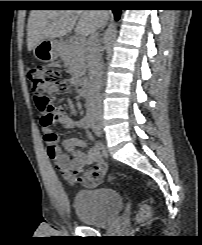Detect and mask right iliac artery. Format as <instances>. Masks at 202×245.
<instances>
[{"mask_svg": "<svg viewBox=\"0 0 202 245\" xmlns=\"http://www.w3.org/2000/svg\"><path fill=\"white\" fill-rule=\"evenodd\" d=\"M91 121H92V118L90 116V114H86L82 119H81V122H82V126L86 129H88L90 126H91Z\"/></svg>", "mask_w": 202, "mask_h": 245, "instance_id": "82829eb1", "label": "right iliac artery"}]
</instances>
